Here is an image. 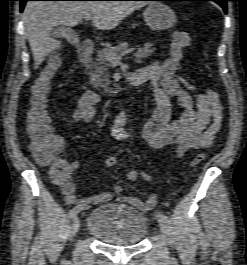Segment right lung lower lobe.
I'll use <instances>...</instances> for the list:
<instances>
[{
	"label": "right lung lower lobe",
	"instance_id": "98d812e1",
	"mask_svg": "<svg viewBox=\"0 0 247 265\" xmlns=\"http://www.w3.org/2000/svg\"><path fill=\"white\" fill-rule=\"evenodd\" d=\"M20 1V11H23V8L25 6V3L30 0H19ZM84 1H97V0H84Z\"/></svg>",
	"mask_w": 247,
	"mask_h": 265
}]
</instances>
